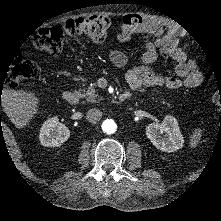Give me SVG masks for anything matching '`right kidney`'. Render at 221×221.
I'll list each match as a JSON object with an SVG mask.
<instances>
[{
    "instance_id": "ca27d5eb",
    "label": "right kidney",
    "mask_w": 221,
    "mask_h": 221,
    "mask_svg": "<svg viewBox=\"0 0 221 221\" xmlns=\"http://www.w3.org/2000/svg\"><path fill=\"white\" fill-rule=\"evenodd\" d=\"M70 137V130L59 122L58 116L48 118L41 126L39 140L45 147H58Z\"/></svg>"
}]
</instances>
